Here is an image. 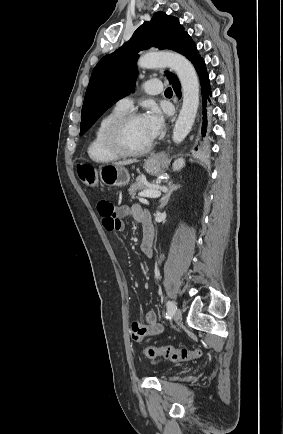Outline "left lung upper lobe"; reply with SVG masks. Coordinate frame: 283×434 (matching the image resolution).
Returning <instances> with one entry per match:
<instances>
[{
    "label": "left lung upper lobe",
    "instance_id": "obj_1",
    "mask_svg": "<svg viewBox=\"0 0 283 434\" xmlns=\"http://www.w3.org/2000/svg\"><path fill=\"white\" fill-rule=\"evenodd\" d=\"M155 46L184 55L196 64L202 59L196 44L179 23V19L157 12L150 22H144L131 39L113 53L104 56L92 71L82 107L80 135L119 99L135 87L138 52ZM170 83L178 79L166 72Z\"/></svg>",
    "mask_w": 283,
    "mask_h": 434
}]
</instances>
